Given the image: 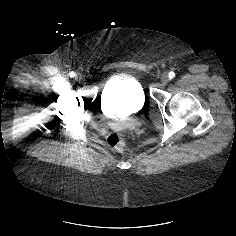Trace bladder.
Wrapping results in <instances>:
<instances>
[{
  "label": "bladder",
  "instance_id": "31cf9c89",
  "mask_svg": "<svg viewBox=\"0 0 236 236\" xmlns=\"http://www.w3.org/2000/svg\"><path fill=\"white\" fill-rule=\"evenodd\" d=\"M145 93L141 82L133 75L122 74L112 78L103 89V104L107 110L113 107L130 112L141 109Z\"/></svg>",
  "mask_w": 236,
  "mask_h": 236
}]
</instances>
